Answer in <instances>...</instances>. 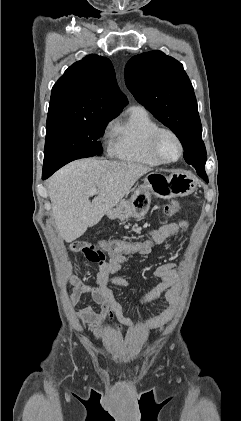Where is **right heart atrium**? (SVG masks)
<instances>
[{"mask_svg":"<svg viewBox=\"0 0 241 421\" xmlns=\"http://www.w3.org/2000/svg\"><path fill=\"white\" fill-rule=\"evenodd\" d=\"M110 125H111L110 123H108V124H107V126H106V131H105V135H107V134H108V129L110 128Z\"/></svg>","mask_w":241,"mask_h":421,"instance_id":"d8ad5b80","label":"right heart atrium"}]
</instances>
